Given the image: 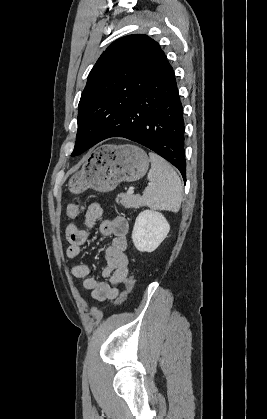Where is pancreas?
Wrapping results in <instances>:
<instances>
[{
    "label": "pancreas",
    "instance_id": "1",
    "mask_svg": "<svg viewBox=\"0 0 267 419\" xmlns=\"http://www.w3.org/2000/svg\"><path fill=\"white\" fill-rule=\"evenodd\" d=\"M116 202L121 204L125 208H140L144 206V202L141 196L120 193L117 195Z\"/></svg>",
    "mask_w": 267,
    "mask_h": 419
}]
</instances>
